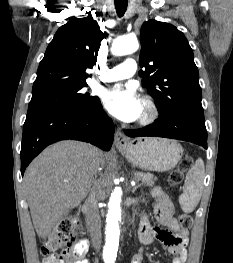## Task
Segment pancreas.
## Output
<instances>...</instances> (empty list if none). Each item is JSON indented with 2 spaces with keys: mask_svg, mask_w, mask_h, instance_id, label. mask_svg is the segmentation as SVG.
<instances>
[{
  "mask_svg": "<svg viewBox=\"0 0 233 263\" xmlns=\"http://www.w3.org/2000/svg\"><path fill=\"white\" fill-rule=\"evenodd\" d=\"M135 180H142V184H146L147 186L152 187L156 178L151 173H144V172H136L134 174Z\"/></svg>",
  "mask_w": 233,
  "mask_h": 263,
  "instance_id": "1",
  "label": "pancreas"
}]
</instances>
